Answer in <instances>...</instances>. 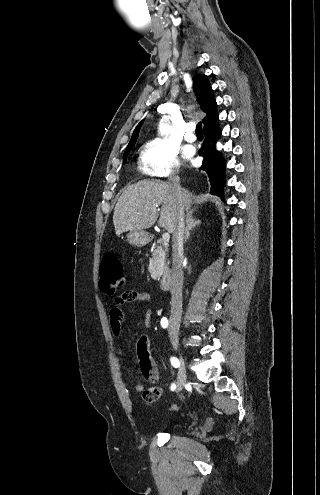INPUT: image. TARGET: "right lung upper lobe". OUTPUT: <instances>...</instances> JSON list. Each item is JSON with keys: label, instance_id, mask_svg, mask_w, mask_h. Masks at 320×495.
Returning <instances> with one entry per match:
<instances>
[{"label": "right lung upper lobe", "instance_id": "obj_1", "mask_svg": "<svg viewBox=\"0 0 320 495\" xmlns=\"http://www.w3.org/2000/svg\"><path fill=\"white\" fill-rule=\"evenodd\" d=\"M192 80H193V89L197 96V101L200 104L203 112L206 113V117L203 119L204 128H206L219 121V114L217 112V103L210 82L205 76L201 74H195ZM143 122L144 120H142L136 126L132 134L131 140L125 150L132 148L136 143Z\"/></svg>", "mask_w": 320, "mask_h": 495}]
</instances>
